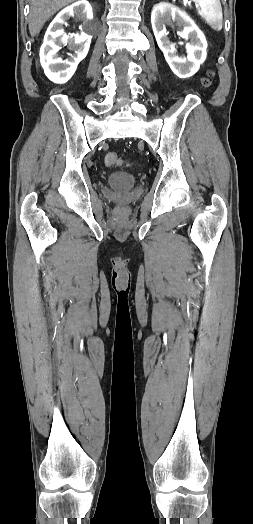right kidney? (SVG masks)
<instances>
[{"label":"right kidney","mask_w":253,"mask_h":524,"mask_svg":"<svg viewBox=\"0 0 253 524\" xmlns=\"http://www.w3.org/2000/svg\"><path fill=\"white\" fill-rule=\"evenodd\" d=\"M76 17L83 21L80 34H66L63 24ZM93 19L92 7L86 0H80L63 9L49 25L40 49V62L46 76L53 82L66 83L75 73L79 62L87 55L92 36L90 21ZM60 44L68 45L73 54L63 60L58 55Z\"/></svg>","instance_id":"1"}]
</instances>
